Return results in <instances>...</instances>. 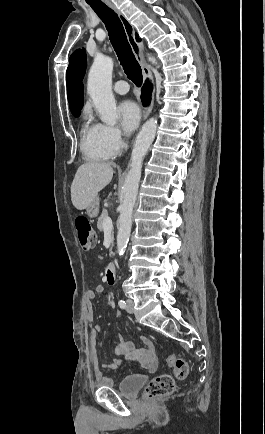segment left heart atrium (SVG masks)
<instances>
[{
  "label": "left heart atrium",
  "mask_w": 265,
  "mask_h": 434,
  "mask_svg": "<svg viewBox=\"0 0 265 434\" xmlns=\"http://www.w3.org/2000/svg\"><path fill=\"white\" fill-rule=\"evenodd\" d=\"M120 125L127 132H133L141 117L139 106L133 101H124L119 105Z\"/></svg>",
  "instance_id": "obj_1"
}]
</instances>
